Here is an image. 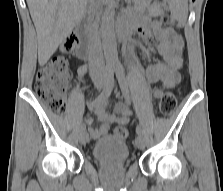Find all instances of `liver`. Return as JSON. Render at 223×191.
<instances>
[{
    "label": "liver",
    "instance_id": "liver-1",
    "mask_svg": "<svg viewBox=\"0 0 223 191\" xmlns=\"http://www.w3.org/2000/svg\"><path fill=\"white\" fill-rule=\"evenodd\" d=\"M89 0H27L38 37V62L45 65L83 17Z\"/></svg>",
    "mask_w": 223,
    "mask_h": 191
}]
</instances>
